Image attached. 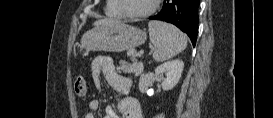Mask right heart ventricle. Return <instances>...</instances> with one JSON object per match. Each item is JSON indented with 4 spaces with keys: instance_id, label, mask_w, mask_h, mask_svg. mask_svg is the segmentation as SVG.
Wrapping results in <instances>:
<instances>
[{
    "instance_id": "e07e8e85",
    "label": "right heart ventricle",
    "mask_w": 273,
    "mask_h": 118,
    "mask_svg": "<svg viewBox=\"0 0 273 118\" xmlns=\"http://www.w3.org/2000/svg\"><path fill=\"white\" fill-rule=\"evenodd\" d=\"M106 15L111 17H122L124 16L123 12L118 6L117 0H107V3L104 7Z\"/></svg>"
}]
</instances>
